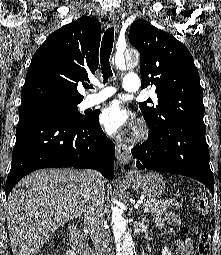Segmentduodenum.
Listing matches in <instances>:
<instances>
[{"instance_id": "duodenum-1", "label": "duodenum", "mask_w": 221, "mask_h": 255, "mask_svg": "<svg viewBox=\"0 0 221 255\" xmlns=\"http://www.w3.org/2000/svg\"><path fill=\"white\" fill-rule=\"evenodd\" d=\"M70 245L78 255H93L91 249L84 243L82 234L77 225L69 226Z\"/></svg>"}]
</instances>
